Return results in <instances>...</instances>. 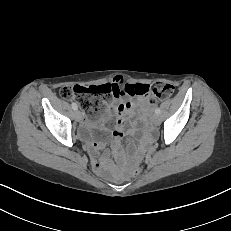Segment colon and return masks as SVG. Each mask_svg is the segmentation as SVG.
<instances>
[{"label": "colon", "instance_id": "1", "mask_svg": "<svg viewBox=\"0 0 231 231\" xmlns=\"http://www.w3.org/2000/svg\"><path fill=\"white\" fill-rule=\"evenodd\" d=\"M127 90L136 96H147L146 105H153L157 99H165L172 96L174 87L171 84L156 82L153 85L136 84L127 87ZM119 87L113 83L93 86H64L59 90L63 99H74L92 118H106L107 105L114 97L120 95ZM142 171L141 164H135L131 170L132 175H138Z\"/></svg>", "mask_w": 231, "mask_h": 231}]
</instances>
